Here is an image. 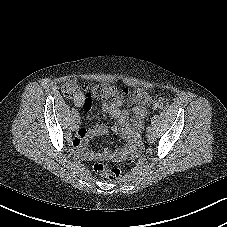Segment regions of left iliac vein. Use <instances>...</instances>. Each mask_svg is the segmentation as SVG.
Here are the masks:
<instances>
[{
    "label": "left iliac vein",
    "mask_w": 227,
    "mask_h": 227,
    "mask_svg": "<svg viewBox=\"0 0 227 227\" xmlns=\"http://www.w3.org/2000/svg\"><path fill=\"white\" fill-rule=\"evenodd\" d=\"M147 140L149 143H153L155 140L154 134L152 132L147 133Z\"/></svg>",
    "instance_id": "obj_1"
}]
</instances>
